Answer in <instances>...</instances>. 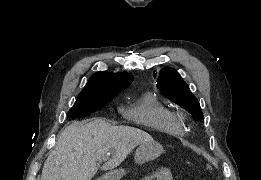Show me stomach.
<instances>
[{"label": "stomach", "instance_id": "1", "mask_svg": "<svg viewBox=\"0 0 261 180\" xmlns=\"http://www.w3.org/2000/svg\"><path fill=\"white\" fill-rule=\"evenodd\" d=\"M163 152V147L160 143L151 140L142 143L136 150L134 160L138 164L155 160ZM125 175L124 169H117L104 174L97 180H120Z\"/></svg>", "mask_w": 261, "mask_h": 180}]
</instances>
